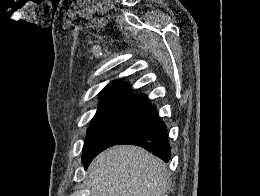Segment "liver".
Returning <instances> with one entry per match:
<instances>
[{"label": "liver", "instance_id": "6515ba94", "mask_svg": "<svg viewBox=\"0 0 260 196\" xmlns=\"http://www.w3.org/2000/svg\"><path fill=\"white\" fill-rule=\"evenodd\" d=\"M166 166L138 146H114L88 170L91 196H165Z\"/></svg>", "mask_w": 260, "mask_h": 196}]
</instances>
